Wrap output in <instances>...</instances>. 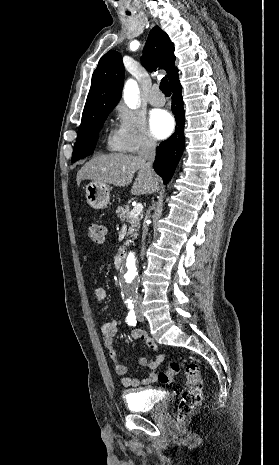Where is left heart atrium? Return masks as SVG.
I'll return each mask as SVG.
<instances>
[{
  "label": "left heart atrium",
  "instance_id": "obj_1",
  "mask_svg": "<svg viewBox=\"0 0 279 465\" xmlns=\"http://www.w3.org/2000/svg\"><path fill=\"white\" fill-rule=\"evenodd\" d=\"M150 128L158 139L168 137L174 129L172 116L164 110H156L150 116Z\"/></svg>",
  "mask_w": 279,
  "mask_h": 465
}]
</instances>
